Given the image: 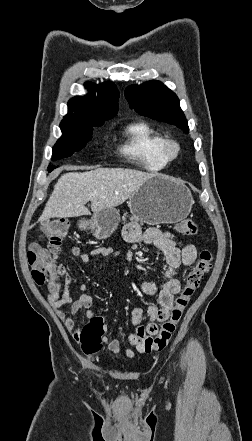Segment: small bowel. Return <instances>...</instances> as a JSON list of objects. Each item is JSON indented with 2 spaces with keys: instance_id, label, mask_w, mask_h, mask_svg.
Listing matches in <instances>:
<instances>
[{
  "instance_id": "1",
  "label": "small bowel",
  "mask_w": 252,
  "mask_h": 441,
  "mask_svg": "<svg viewBox=\"0 0 252 441\" xmlns=\"http://www.w3.org/2000/svg\"><path fill=\"white\" fill-rule=\"evenodd\" d=\"M124 238L129 243H144L145 245H154L165 257L166 269L164 276L166 281L162 286H157L151 282H142L141 289L149 295H156L158 305H151L147 308L149 323L146 325L148 334L155 335L158 332L159 323L164 322L170 313L174 304V296L181 290V282L175 277L176 270L180 266H191L197 257V249L193 244L185 243L178 240L175 235L169 231H162L152 227L142 231L137 226H128L124 230ZM71 253L78 257L83 263H89V255L84 253L79 247L72 246ZM59 250L52 254L53 259H58ZM119 253L108 247L97 248L92 255L116 257ZM71 275L63 264H53V272L51 279L47 284V299L58 318L61 320L66 330L74 337L76 341H80L81 328L75 325V315L79 310H85L86 316L91 319L94 317L93 298L87 293L88 287L85 284L80 285L81 292L77 299H72L69 293L71 284ZM62 286L64 288L62 289ZM69 306V313L66 314L64 308ZM143 318V311L139 307H135L131 312V320L135 326H139ZM106 348L112 353H119L121 350L118 339L110 338L106 335L102 338ZM131 346L138 352H143V346L136 333L128 336ZM128 357L134 356V350L127 349Z\"/></svg>"
}]
</instances>
